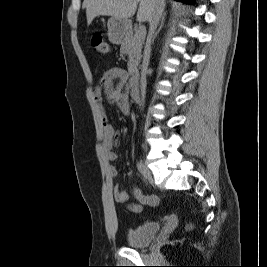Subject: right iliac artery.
Here are the masks:
<instances>
[{"label": "right iliac artery", "mask_w": 267, "mask_h": 267, "mask_svg": "<svg viewBox=\"0 0 267 267\" xmlns=\"http://www.w3.org/2000/svg\"><path fill=\"white\" fill-rule=\"evenodd\" d=\"M137 169L138 171L143 175L144 179L147 180L148 176L146 175L145 169H144V165L142 163H137Z\"/></svg>", "instance_id": "82829eb1"}]
</instances>
